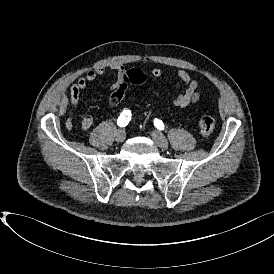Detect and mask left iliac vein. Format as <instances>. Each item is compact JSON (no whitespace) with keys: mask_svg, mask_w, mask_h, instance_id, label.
Returning <instances> with one entry per match:
<instances>
[{"mask_svg":"<svg viewBox=\"0 0 274 274\" xmlns=\"http://www.w3.org/2000/svg\"><path fill=\"white\" fill-rule=\"evenodd\" d=\"M151 137L153 141L161 148H167L169 145L168 140L163 136V134L159 131H152Z\"/></svg>","mask_w":274,"mask_h":274,"instance_id":"left-iliac-vein-1","label":"left iliac vein"}]
</instances>
